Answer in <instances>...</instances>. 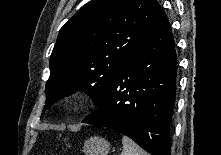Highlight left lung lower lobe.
<instances>
[{"mask_svg":"<svg viewBox=\"0 0 221 155\" xmlns=\"http://www.w3.org/2000/svg\"><path fill=\"white\" fill-rule=\"evenodd\" d=\"M177 60L163 11L113 80L106 96L82 123L120 132L151 155H170V122Z\"/></svg>","mask_w":221,"mask_h":155,"instance_id":"1","label":"left lung lower lobe"}]
</instances>
